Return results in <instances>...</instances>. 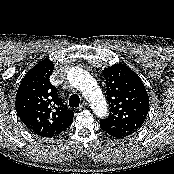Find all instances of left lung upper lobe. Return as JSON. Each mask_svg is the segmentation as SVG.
<instances>
[{"label":"left lung upper lobe","mask_w":174,"mask_h":174,"mask_svg":"<svg viewBox=\"0 0 174 174\" xmlns=\"http://www.w3.org/2000/svg\"><path fill=\"white\" fill-rule=\"evenodd\" d=\"M109 117L100 119L102 129L116 138L138 131L148 113L149 97L140 77L119 63L103 70Z\"/></svg>","instance_id":"5c2ea615"}]
</instances>
